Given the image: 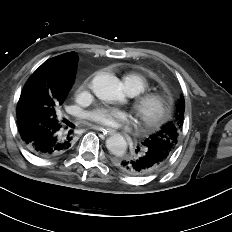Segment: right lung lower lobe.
Returning <instances> with one entry per match:
<instances>
[{"instance_id":"right-lung-lower-lobe-1","label":"right lung lower lobe","mask_w":232,"mask_h":232,"mask_svg":"<svg viewBox=\"0 0 232 232\" xmlns=\"http://www.w3.org/2000/svg\"><path fill=\"white\" fill-rule=\"evenodd\" d=\"M18 130L27 149L40 157L61 155L69 150L74 141L68 123L52 129L39 125L28 132H24L23 126L18 125Z\"/></svg>"}]
</instances>
